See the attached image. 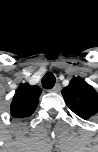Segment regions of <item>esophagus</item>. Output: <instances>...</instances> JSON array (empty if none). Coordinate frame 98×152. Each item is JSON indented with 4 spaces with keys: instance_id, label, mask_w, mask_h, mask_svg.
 Returning <instances> with one entry per match:
<instances>
[{
    "instance_id": "obj_1",
    "label": "esophagus",
    "mask_w": 98,
    "mask_h": 152,
    "mask_svg": "<svg viewBox=\"0 0 98 152\" xmlns=\"http://www.w3.org/2000/svg\"><path fill=\"white\" fill-rule=\"evenodd\" d=\"M60 90H61V85L57 83L55 84V86L52 88L51 91L57 93V92H60Z\"/></svg>"
}]
</instances>
